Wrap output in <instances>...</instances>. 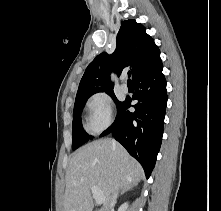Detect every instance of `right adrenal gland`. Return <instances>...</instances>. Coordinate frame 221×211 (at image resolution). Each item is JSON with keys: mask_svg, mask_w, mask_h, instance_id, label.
Returning <instances> with one entry per match:
<instances>
[{"mask_svg": "<svg viewBox=\"0 0 221 211\" xmlns=\"http://www.w3.org/2000/svg\"><path fill=\"white\" fill-rule=\"evenodd\" d=\"M132 186L128 187V188H124L123 190H121L120 195H123L125 192H127L128 190L131 189Z\"/></svg>", "mask_w": 221, "mask_h": 211, "instance_id": "1", "label": "right adrenal gland"}]
</instances>
